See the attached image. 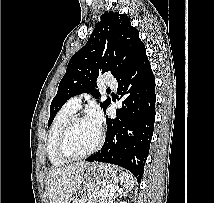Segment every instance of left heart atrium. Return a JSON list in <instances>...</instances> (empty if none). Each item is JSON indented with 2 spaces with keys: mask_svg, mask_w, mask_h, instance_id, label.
<instances>
[{
  "mask_svg": "<svg viewBox=\"0 0 214 203\" xmlns=\"http://www.w3.org/2000/svg\"><path fill=\"white\" fill-rule=\"evenodd\" d=\"M86 119L95 127L100 128L103 122V115L97 106L89 109Z\"/></svg>",
  "mask_w": 214,
  "mask_h": 203,
  "instance_id": "39dd6f15",
  "label": "left heart atrium"
}]
</instances>
